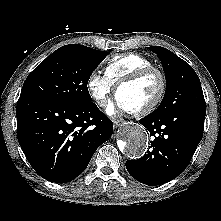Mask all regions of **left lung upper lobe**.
Returning a JSON list of instances; mask_svg holds the SVG:
<instances>
[{
  "label": "left lung upper lobe",
  "mask_w": 221,
  "mask_h": 221,
  "mask_svg": "<svg viewBox=\"0 0 221 221\" xmlns=\"http://www.w3.org/2000/svg\"><path fill=\"white\" fill-rule=\"evenodd\" d=\"M148 49L155 52L161 60L166 78L164 98L154 112L185 108L206 110L201 83L193 68L166 48L151 46Z\"/></svg>",
  "instance_id": "obj_1"
}]
</instances>
